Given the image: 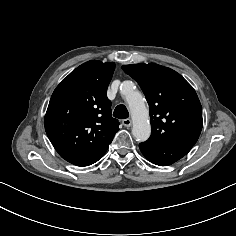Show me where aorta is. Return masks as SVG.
Instances as JSON below:
<instances>
[{
  "label": "aorta",
  "instance_id": "aorta-1",
  "mask_svg": "<svg viewBox=\"0 0 236 236\" xmlns=\"http://www.w3.org/2000/svg\"><path fill=\"white\" fill-rule=\"evenodd\" d=\"M134 83L125 81L121 84V93L126 97L133 120L132 135L138 142L146 141L151 134L148 109L142 95L135 92Z\"/></svg>",
  "mask_w": 236,
  "mask_h": 236
}]
</instances>
